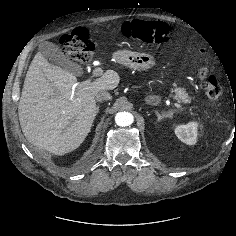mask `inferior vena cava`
I'll list each match as a JSON object with an SVG mask.
<instances>
[{"mask_svg": "<svg viewBox=\"0 0 236 236\" xmlns=\"http://www.w3.org/2000/svg\"><path fill=\"white\" fill-rule=\"evenodd\" d=\"M96 101L101 102L105 100H110L112 97L109 92L101 90L95 95Z\"/></svg>", "mask_w": 236, "mask_h": 236, "instance_id": "inferior-vena-cava-1", "label": "inferior vena cava"}]
</instances>
